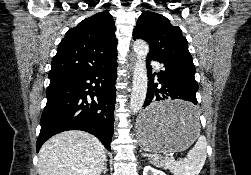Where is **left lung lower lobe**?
<instances>
[{"label":"left lung lower lobe","instance_id":"1","mask_svg":"<svg viewBox=\"0 0 251 175\" xmlns=\"http://www.w3.org/2000/svg\"><path fill=\"white\" fill-rule=\"evenodd\" d=\"M147 60H156L164 64L165 70L155 73L161 85L153 82L154 76H150L151 67L148 65V91L144 102V109L140 121L145 126H153L164 123L187 122L197 118L199 111L196 92L198 84L195 81V70L182 65L167 63L161 57L148 55ZM182 99L191 103L171 107H153L158 101L166 99Z\"/></svg>","mask_w":251,"mask_h":175}]
</instances>
